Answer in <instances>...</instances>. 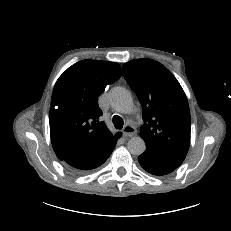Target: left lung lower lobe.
Returning <instances> with one entry per match:
<instances>
[{
    "mask_svg": "<svg viewBox=\"0 0 231 231\" xmlns=\"http://www.w3.org/2000/svg\"><path fill=\"white\" fill-rule=\"evenodd\" d=\"M185 159L184 155L172 154L163 150L146 148L138 157L142 168L153 175H166L174 171Z\"/></svg>",
    "mask_w": 231,
    "mask_h": 231,
    "instance_id": "1",
    "label": "left lung lower lobe"
}]
</instances>
